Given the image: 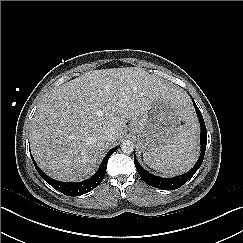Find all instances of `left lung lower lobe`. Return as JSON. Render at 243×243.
<instances>
[{
  "mask_svg": "<svg viewBox=\"0 0 243 243\" xmlns=\"http://www.w3.org/2000/svg\"><path fill=\"white\" fill-rule=\"evenodd\" d=\"M193 104H194V107H195V110H196V113L198 115L199 122L201 125V139H200L201 154H200L198 161L196 162V165L189 172H187L183 175L172 177V178H161V177L155 176V175L147 172L146 170H144L142 168V166L139 165V163L136 159V156L134 154V163H135L136 169L146 184L159 188V189H163V190L178 189L183 184H185L200 168V166L203 162V157H204L205 150H206L207 130H206L205 122L203 120V116H202L199 108L197 107L196 103L194 102V100H193Z\"/></svg>",
  "mask_w": 243,
  "mask_h": 243,
  "instance_id": "0a47b994",
  "label": "left lung lower lobe"
}]
</instances>
